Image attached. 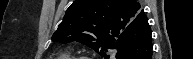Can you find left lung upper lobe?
I'll return each mask as SVG.
<instances>
[{
    "instance_id": "1",
    "label": "left lung upper lobe",
    "mask_w": 193,
    "mask_h": 59,
    "mask_svg": "<svg viewBox=\"0 0 193 59\" xmlns=\"http://www.w3.org/2000/svg\"><path fill=\"white\" fill-rule=\"evenodd\" d=\"M143 14L136 0H75L52 40L63 44L79 41L108 58L107 50Z\"/></svg>"
}]
</instances>
